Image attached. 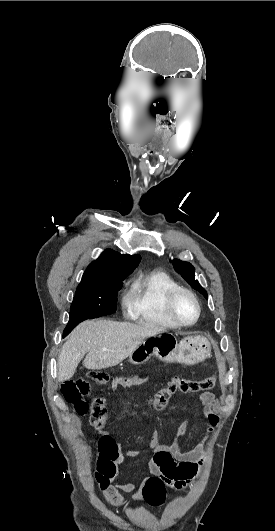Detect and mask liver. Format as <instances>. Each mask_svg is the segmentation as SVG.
<instances>
[{
    "label": "liver",
    "instance_id": "obj_1",
    "mask_svg": "<svg viewBox=\"0 0 275 531\" xmlns=\"http://www.w3.org/2000/svg\"><path fill=\"white\" fill-rule=\"evenodd\" d=\"M164 329L149 323H118V321H84L69 335L58 359V381H69L78 363L84 359L86 369H107L127 359L132 351ZM109 349V351H103Z\"/></svg>",
    "mask_w": 275,
    "mask_h": 531
}]
</instances>
